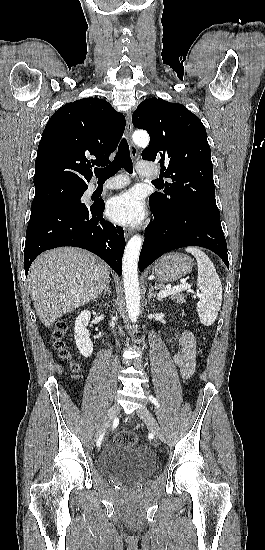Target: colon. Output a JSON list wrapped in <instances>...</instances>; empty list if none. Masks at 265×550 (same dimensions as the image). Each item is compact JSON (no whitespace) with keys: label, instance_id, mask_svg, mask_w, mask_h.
<instances>
[{"label":"colon","instance_id":"colon-1","mask_svg":"<svg viewBox=\"0 0 265 550\" xmlns=\"http://www.w3.org/2000/svg\"><path fill=\"white\" fill-rule=\"evenodd\" d=\"M69 330V323L66 320H61L57 323L54 331L55 347L58 350V354L61 358L66 359L69 357V352L66 349L65 337ZM73 372L75 376L78 373V366L73 365ZM114 442L116 444L135 445L137 442V435L131 431H120L115 434Z\"/></svg>","mask_w":265,"mask_h":550}]
</instances>
